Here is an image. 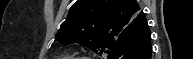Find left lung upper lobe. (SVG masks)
<instances>
[{
  "mask_svg": "<svg viewBox=\"0 0 193 59\" xmlns=\"http://www.w3.org/2000/svg\"><path fill=\"white\" fill-rule=\"evenodd\" d=\"M144 13L133 0H77L55 40L79 43L105 55Z\"/></svg>",
  "mask_w": 193,
  "mask_h": 59,
  "instance_id": "obj_1",
  "label": "left lung upper lobe"
}]
</instances>
